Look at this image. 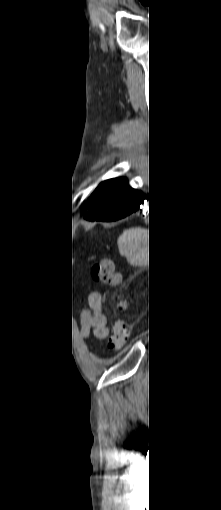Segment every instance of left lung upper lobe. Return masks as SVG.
<instances>
[{"mask_svg":"<svg viewBox=\"0 0 221 510\" xmlns=\"http://www.w3.org/2000/svg\"><path fill=\"white\" fill-rule=\"evenodd\" d=\"M127 186L126 178H115L101 182L89 199L87 204L89 211L107 205Z\"/></svg>","mask_w":221,"mask_h":510,"instance_id":"5c2ea615","label":"left lung upper lobe"}]
</instances>
